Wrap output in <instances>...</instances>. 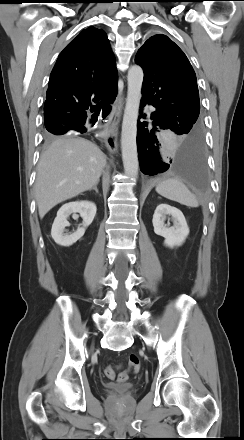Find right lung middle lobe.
<instances>
[{
    "mask_svg": "<svg viewBox=\"0 0 244 440\" xmlns=\"http://www.w3.org/2000/svg\"><path fill=\"white\" fill-rule=\"evenodd\" d=\"M52 135H56V134L47 129L46 134H45L46 138H50V137H52Z\"/></svg>",
    "mask_w": 244,
    "mask_h": 440,
    "instance_id": "obj_1",
    "label": "right lung middle lobe"
}]
</instances>
